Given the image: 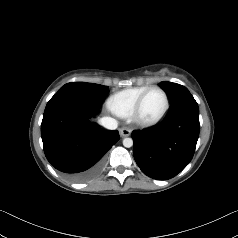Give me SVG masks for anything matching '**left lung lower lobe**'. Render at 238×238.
Instances as JSON below:
<instances>
[{"instance_id":"left-lung-lower-lobe-1","label":"left lung lower lobe","mask_w":238,"mask_h":238,"mask_svg":"<svg viewBox=\"0 0 238 238\" xmlns=\"http://www.w3.org/2000/svg\"><path fill=\"white\" fill-rule=\"evenodd\" d=\"M199 137V108L191 94L171 103L161 123L132 132L134 159L147 176L167 180L191 161Z\"/></svg>"}]
</instances>
